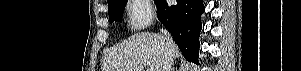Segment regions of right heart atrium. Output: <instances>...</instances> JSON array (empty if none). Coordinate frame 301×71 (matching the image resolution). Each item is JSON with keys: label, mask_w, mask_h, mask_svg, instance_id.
<instances>
[{"label": "right heart atrium", "mask_w": 301, "mask_h": 71, "mask_svg": "<svg viewBox=\"0 0 301 71\" xmlns=\"http://www.w3.org/2000/svg\"><path fill=\"white\" fill-rule=\"evenodd\" d=\"M126 14L129 26L140 31L146 28L153 19V10L148 0H130L127 3Z\"/></svg>", "instance_id": "obj_1"}]
</instances>
